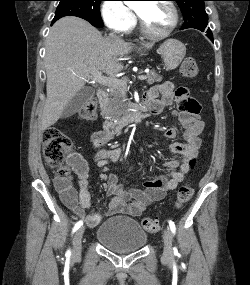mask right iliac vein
Listing matches in <instances>:
<instances>
[{"label":"right iliac vein","mask_w":250,"mask_h":285,"mask_svg":"<svg viewBox=\"0 0 250 285\" xmlns=\"http://www.w3.org/2000/svg\"><path fill=\"white\" fill-rule=\"evenodd\" d=\"M85 231V227L82 226L80 227L73 238V249H72V255L73 257H77L80 255L81 253V248H82V238H83V234Z\"/></svg>","instance_id":"right-iliac-vein-1"}]
</instances>
